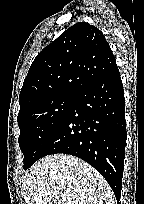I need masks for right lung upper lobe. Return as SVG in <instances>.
I'll return each instance as SVG.
<instances>
[{
    "mask_svg": "<svg viewBox=\"0 0 144 204\" xmlns=\"http://www.w3.org/2000/svg\"><path fill=\"white\" fill-rule=\"evenodd\" d=\"M116 67L103 33L89 23H76L33 61L20 92L18 114L56 95H76Z\"/></svg>",
    "mask_w": 144,
    "mask_h": 204,
    "instance_id": "cb5924a9",
    "label": "right lung upper lobe"
}]
</instances>
